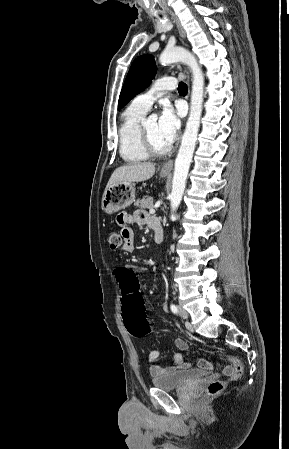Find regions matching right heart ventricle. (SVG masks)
<instances>
[{
    "label": "right heart ventricle",
    "mask_w": 289,
    "mask_h": 449,
    "mask_svg": "<svg viewBox=\"0 0 289 449\" xmlns=\"http://www.w3.org/2000/svg\"><path fill=\"white\" fill-rule=\"evenodd\" d=\"M145 113L146 110L131 104L121 116L118 130L119 151L127 162H139L149 157L143 148L140 132Z\"/></svg>",
    "instance_id": "obj_1"
}]
</instances>
